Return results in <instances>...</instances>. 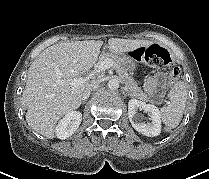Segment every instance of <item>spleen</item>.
Masks as SVG:
<instances>
[{
  "instance_id": "obj_1",
  "label": "spleen",
  "mask_w": 209,
  "mask_h": 179,
  "mask_svg": "<svg viewBox=\"0 0 209 179\" xmlns=\"http://www.w3.org/2000/svg\"><path fill=\"white\" fill-rule=\"evenodd\" d=\"M170 102L167 106L160 109V115L163 123L169 129L179 125L185 110L188 93L184 82H177L170 90Z\"/></svg>"
}]
</instances>
